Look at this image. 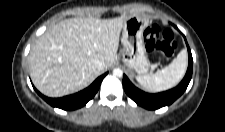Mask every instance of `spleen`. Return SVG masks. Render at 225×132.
Segmentation results:
<instances>
[{
    "mask_svg": "<svg viewBox=\"0 0 225 132\" xmlns=\"http://www.w3.org/2000/svg\"><path fill=\"white\" fill-rule=\"evenodd\" d=\"M187 51L182 50L169 66L152 75H138L137 82L152 92H161L177 85L183 78L187 68Z\"/></svg>",
    "mask_w": 225,
    "mask_h": 132,
    "instance_id": "obj_1",
    "label": "spleen"
}]
</instances>
